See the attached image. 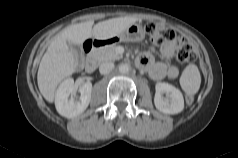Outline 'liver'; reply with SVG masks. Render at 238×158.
I'll return each instance as SVG.
<instances>
[{
    "mask_svg": "<svg viewBox=\"0 0 238 158\" xmlns=\"http://www.w3.org/2000/svg\"><path fill=\"white\" fill-rule=\"evenodd\" d=\"M136 21V17H119L94 26L93 21H87L68 26L57 34L43 55L38 69L37 82L43 97L48 102H53L57 86L77 70L79 63L68 43L80 45L91 37L106 40L118 35Z\"/></svg>",
    "mask_w": 238,
    "mask_h": 158,
    "instance_id": "liver-1",
    "label": "liver"
}]
</instances>
